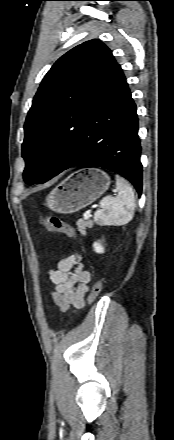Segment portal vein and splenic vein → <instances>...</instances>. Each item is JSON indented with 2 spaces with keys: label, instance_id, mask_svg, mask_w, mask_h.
Returning a JSON list of instances; mask_svg holds the SVG:
<instances>
[{
  "label": "portal vein and splenic vein",
  "instance_id": "18ae733b",
  "mask_svg": "<svg viewBox=\"0 0 174 440\" xmlns=\"http://www.w3.org/2000/svg\"><path fill=\"white\" fill-rule=\"evenodd\" d=\"M91 217V210H88L85 214H84V219L88 220Z\"/></svg>",
  "mask_w": 174,
  "mask_h": 440
}]
</instances>
